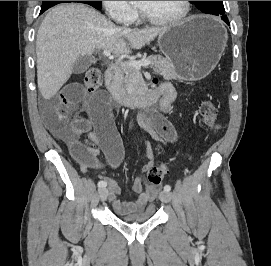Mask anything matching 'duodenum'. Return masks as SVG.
<instances>
[{"instance_id": "1", "label": "duodenum", "mask_w": 271, "mask_h": 266, "mask_svg": "<svg viewBox=\"0 0 271 266\" xmlns=\"http://www.w3.org/2000/svg\"><path fill=\"white\" fill-rule=\"evenodd\" d=\"M105 83L108 91L111 93L115 101L121 105L134 103L140 107H149L154 105L163 95L160 89H152L151 91L140 97L128 95L122 89L121 70L116 65L109 67L106 71Z\"/></svg>"}]
</instances>
